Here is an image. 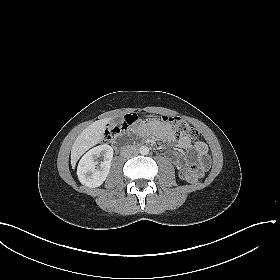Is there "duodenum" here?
<instances>
[{"instance_id":"duodenum-1","label":"duodenum","mask_w":280,"mask_h":280,"mask_svg":"<svg viewBox=\"0 0 280 280\" xmlns=\"http://www.w3.org/2000/svg\"><path fill=\"white\" fill-rule=\"evenodd\" d=\"M123 147H124V145L122 144V142L118 141V142L116 143V148L121 149V148H123Z\"/></svg>"}]
</instances>
